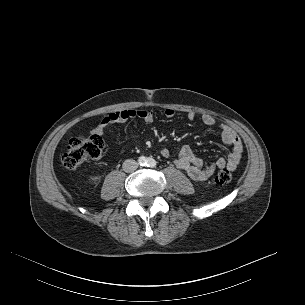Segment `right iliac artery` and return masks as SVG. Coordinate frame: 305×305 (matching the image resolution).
I'll list each match as a JSON object with an SVG mask.
<instances>
[{
	"instance_id": "82829eb1",
	"label": "right iliac artery",
	"mask_w": 305,
	"mask_h": 305,
	"mask_svg": "<svg viewBox=\"0 0 305 305\" xmlns=\"http://www.w3.org/2000/svg\"><path fill=\"white\" fill-rule=\"evenodd\" d=\"M140 164L142 166H145L146 165V159L144 157H141L140 160H139Z\"/></svg>"
}]
</instances>
